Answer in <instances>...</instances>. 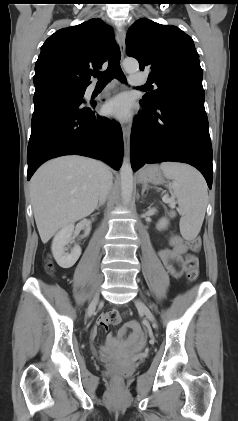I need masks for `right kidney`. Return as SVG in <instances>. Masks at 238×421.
Returning <instances> with one entry per match:
<instances>
[{"mask_svg":"<svg viewBox=\"0 0 238 421\" xmlns=\"http://www.w3.org/2000/svg\"><path fill=\"white\" fill-rule=\"evenodd\" d=\"M74 231V225L70 224L63 227L54 237L52 242V253L57 264L62 268L72 267L81 255V248L79 245H75L71 252H67L66 245L69 244L71 236ZM90 232V224L86 225L85 234L88 235Z\"/></svg>","mask_w":238,"mask_h":421,"instance_id":"right-kidney-1","label":"right kidney"}]
</instances>
